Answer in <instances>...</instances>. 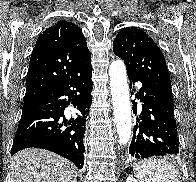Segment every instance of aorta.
I'll return each mask as SVG.
<instances>
[{
  "instance_id": "762f6f07",
  "label": "aorta",
  "mask_w": 196,
  "mask_h": 182,
  "mask_svg": "<svg viewBox=\"0 0 196 182\" xmlns=\"http://www.w3.org/2000/svg\"><path fill=\"white\" fill-rule=\"evenodd\" d=\"M109 76L114 122L119 136V143L126 145L131 136L132 119L126 68L121 60L118 59L111 63Z\"/></svg>"
}]
</instances>
